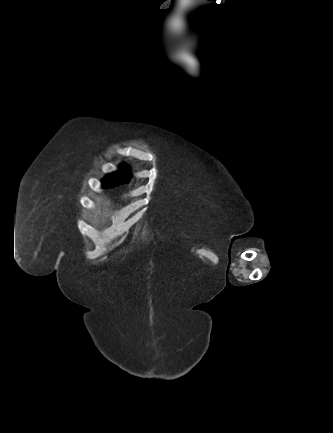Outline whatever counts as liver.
<instances>
[{"label": "liver", "mask_w": 333, "mask_h": 433, "mask_svg": "<svg viewBox=\"0 0 333 433\" xmlns=\"http://www.w3.org/2000/svg\"><path fill=\"white\" fill-rule=\"evenodd\" d=\"M101 205L103 206V210H107L108 208L111 207L110 201L109 200H103L102 202H100ZM109 220V215L102 211V212H95L93 214V216L90 217V222L93 225H96L98 227V225H105Z\"/></svg>", "instance_id": "6515ba94"}]
</instances>
